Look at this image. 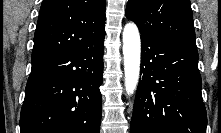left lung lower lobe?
Listing matches in <instances>:
<instances>
[{"label":"left lung lower lobe","instance_id":"0a47b994","mask_svg":"<svg viewBox=\"0 0 221 133\" xmlns=\"http://www.w3.org/2000/svg\"><path fill=\"white\" fill-rule=\"evenodd\" d=\"M140 74L130 133H206L196 47L142 35Z\"/></svg>","mask_w":221,"mask_h":133}]
</instances>
